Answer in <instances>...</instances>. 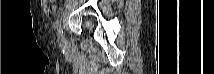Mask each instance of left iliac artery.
Here are the masks:
<instances>
[{
	"instance_id": "44dca946",
	"label": "left iliac artery",
	"mask_w": 214,
	"mask_h": 74,
	"mask_svg": "<svg viewBox=\"0 0 214 74\" xmlns=\"http://www.w3.org/2000/svg\"><path fill=\"white\" fill-rule=\"evenodd\" d=\"M60 23H61V18H58L56 21H55V23H54V27H55V29H57L58 30V35L60 36V33H61V31H60ZM62 34H63V31H62Z\"/></svg>"
}]
</instances>
